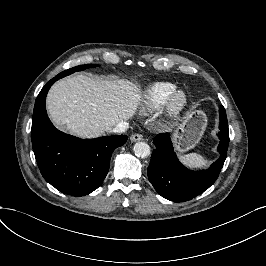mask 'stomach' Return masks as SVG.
Returning a JSON list of instances; mask_svg holds the SVG:
<instances>
[{
    "mask_svg": "<svg viewBox=\"0 0 266 266\" xmlns=\"http://www.w3.org/2000/svg\"><path fill=\"white\" fill-rule=\"evenodd\" d=\"M206 116L201 111H191L185 121L175 131L176 145L179 150L186 151L195 146L206 126Z\"/></svg>",
    "mask_w": 266,
    "mask_h": 266,
    "instance_id": "obj_1",
    "label": "stomach"
}]
</instances>
